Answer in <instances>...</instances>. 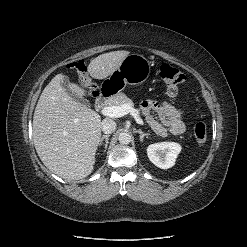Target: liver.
<instances>
[{
    "instance_id": "liver-1",
    "label": "liver",
    "mask_w": 247,
    "mask_h": 247,
    "mask_svg": "<svg viewBox=\"0 0 247 247\" xmlns=\"http://www.w3.org/2000/svg\"><path fill=\"white\" fill-rule=\"evenodd\" d=\"M113 51L99 55L88 65L95 79L111 75L129 55ZM64 75H56L43 90L33 116V142L43 164L63 179L78 180L94 169L101 139V118L74 100L61 86ZM71 91L83 98L86 91L70 83Z\"/></svg>"
}]
</instances>
